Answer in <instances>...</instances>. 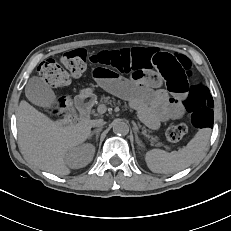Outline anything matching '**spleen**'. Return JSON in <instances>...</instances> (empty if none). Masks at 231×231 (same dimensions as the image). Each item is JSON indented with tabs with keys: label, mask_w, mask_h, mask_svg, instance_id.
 <instances>
[{
	"label": "spleen",
	"mask_w": 231,
	"mask_h": 231,
	"mask_svg": "<svg viewBox=\"0 0 231 231\" xmlns=\"http://www.w3.org/2000/svg\"><path fill=\"white\" fill-rule=\"evenodd\" d=\"M211 135L210 128H203L193 139L178 151L166 152L152 149L145 154L148 168L154 173H176L193 164L205 151Z\"/></svg>",
	"instance_id": "spleen-1"
}]
</instances>
